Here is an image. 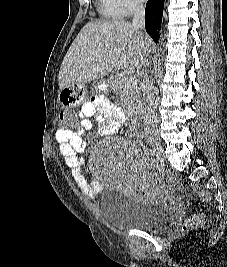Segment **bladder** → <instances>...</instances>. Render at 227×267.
<instances>
[{
    "label": "bladder",
    "mask_w": 227,
    "mask_h": 267,
    "mask_svg": "<svg viewBox=\"0 0 227 267\" xmlns=\"http://www.w3.org/2000/svg\"><path fill=\"white\" fill-rule=\"evenodd\" d=\"M100 208L105 221L120 230L155 231L170 225L175 212L157 200H136L116 188L102 191Z\"/></svg>",
    "instance_id": "31cf9c89"
}]
</instances>
